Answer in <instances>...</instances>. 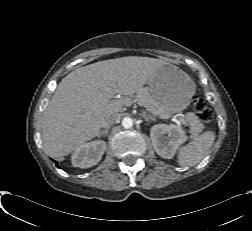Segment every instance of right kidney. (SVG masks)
<instances>
[{
	"mask_svg": "<svg viewBox=\"0 0 252 231\" xmlns=\"http://www.w3.org/2000/svg\"><path fill=\"white\" fill-rule=\"evenodd\" d=\"M106 150V142L95 140L80 145L71 156L74 167L89 168L96 165Z\"/></svg>",
	"mask_w": 252,
	"mask_h": 231,
	"instance_id": "1",
	"label": "right kidney"
}]
</instances>
